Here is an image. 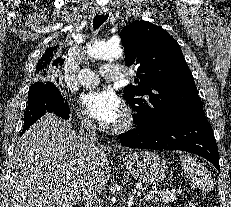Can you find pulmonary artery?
<instances>
[{"label": "pulmonary artery", "instance_id": "e3ab8cb5", "mask_svg": "<svg viewBox=\"0 0 231 207\" xmlns=\"http://www.w3.org/2000/svg\"><path fill=\"white\" fill-rule=\"evenodd\" d=\"M100 73L104 79L110 81H116L126 77L123 67L117 64L102 66ZM78 82L85 87L95 86L99 82V76L90 69H82L78 75Z\"/></svg>", "mask_w": 231, "mask_h": 207}]
</instances>
